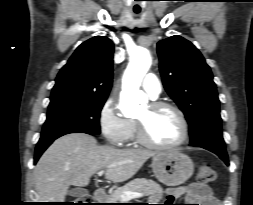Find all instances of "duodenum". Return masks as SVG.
Returning a JSON list of instances; mask_svg holds the SVG:
<instances>
[{
  "mask_svg": "<svg viewBox=\"0 0 253 205\" xmlns=\"http://www.w3.org/2000/svg\"><path fill=\"white\" fill-rule=\"evenodd\" d=\"M108 197L107 191L103 188H99L94 192V199L97 202H104Z\"/></svg>",
  "mask_w": 253,
  "mask_h": 205,
  "instance_id": "410a0bca",
  "label": "duodenum"
}]
</instances>
